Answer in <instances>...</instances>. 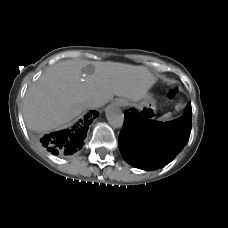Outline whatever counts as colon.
<instances>
[{
    "instance_id": "1",
    "label": "colon",
    "mask_w": 228,
    "mask_h": 228,
    "mask_svg": "<svg viewBox=\"0 0 228 228\" xmlns=\"http://www.w3.org/2000/svg\"><path fill=\"white\" fill-rule=\"evenodd\" d=\"M177 93H178L177 88H171L167 94L168 99H170V100L174 99L176 97Z\"/></svg>"
}]
</instances>
